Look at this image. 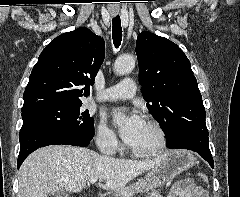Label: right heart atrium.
I'll list each match as a JSON object with an SVG mask.
<instances>
[{"label":"right heart atrium","mask_w":240,"mask_h":197,"mask_svg":"<svg viewBox=\"0 0 240 197\" xmlns=\"http://www.w3.org/2000/svg\"><path fill=\"white\" fill-rule=\"evenodd\" d=\"M95 140L98 148L108 154L115 153L120 146L116 133L105 122H100Z\"/></svg>","instance_id":"1"}]
</instances>
